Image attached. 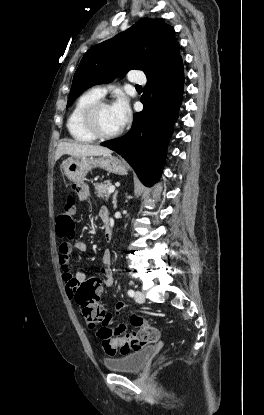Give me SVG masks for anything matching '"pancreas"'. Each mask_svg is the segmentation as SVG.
I'll use <instances>...</instances> for the list:
<instances>
[{
    "mask_svg": "<svg viewBox=\"0 0 264 415\" xmlns=\"http://www.w3.org/2000/svg\"><path fill=\"white\" fill-rule=\"evenodd\" d=\"M95 186V193L99 198H104L107 196L108 189L110 187L109 183H97Z\"/></svg>",
    "mask_w": 264,
    "mask_h": 415,
    "instance_id": "cf45deb5",
    "label": "pancreas"
}]
</instances>
